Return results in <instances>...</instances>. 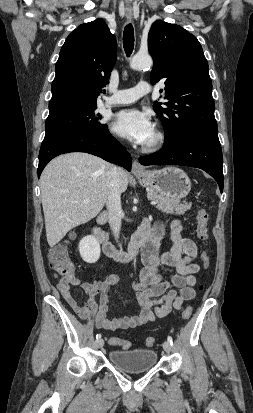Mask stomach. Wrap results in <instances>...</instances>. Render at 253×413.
Returning a JSON list of instances; mask_svg holds the SVG:
<instances>
[{
	"instance_id": "1",
	"label": "stomach",
	"mask_w": 253,
	"mask_h": 413,
	"mask_svg": "<svg viewBox=\"0 0 253 413\" xmlns=\"http://www.w3.org/2000/svg\"><path fill=\"white\" fill-rule=\"evenodd\" d=\"M136 178L147 189L175 200L186 197L191 190L188 175L182 169L173 166L145 171L142 175H136Z\"/></svg>"
}]
</instances>
